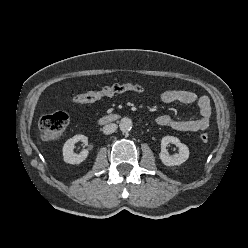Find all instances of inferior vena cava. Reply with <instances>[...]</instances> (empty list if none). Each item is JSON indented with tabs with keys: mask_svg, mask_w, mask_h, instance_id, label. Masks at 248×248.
<instances>
[{
	"mask_svg": "<svg viewBox=\"0 0 248 248\" xmlns=\"http://www.w3.org/2000/svg\"><path fill=\"white\" fill-rule=\"evenodd\" d=\"M117 130V125L114 123L111 124H107L103 127V133L108 135V134H112Z\"/></svg>",
	"mask_w": 248,
	"mask_h": 248,
	"instance_id": "1",
	"label": "inferior vena cava"
}]
</instances>
